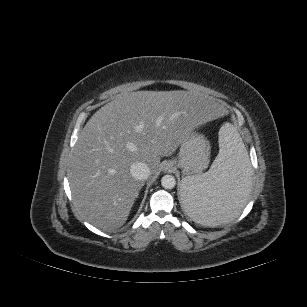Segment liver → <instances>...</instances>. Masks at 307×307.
<instances>
[{"instance_id": "liver-1", "label": "liver", "mask_w": 307, "mask_h": 307, "mask_svg": "<svg viewBox=\"0 0 307 307\" xmlns=\"http://www.w3.org/2000/svg\"><path fill=\"white\" fill-rule=\"evenodd\" d=\"M220 102L187 91H137L118 95L81 130L69 161L74 205L92 225L114 231L127 221L143 182L130 166L144 162L158 174L196 127L221 119Z\"/></svg>"}]
</instances>
